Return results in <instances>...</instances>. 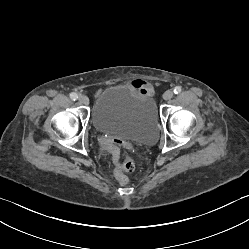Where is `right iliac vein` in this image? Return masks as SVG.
Wrapping results in <instances>:
<instances>
[{"label":"right iliac vein","instance_id":"obj_1","mask_svg":"<svg viewBox=\"0 0 249 249\" xmlns=\"http://www.w3.org/2000/svg\"><path fill=\"white\" fill-rule=\"evenodd\" d=\"M79 102L84 104V105H88L89 104V99L85 95H80L79 96Z\"/></svg>","mask_w":249,"mask_h":249}]
</instances>
